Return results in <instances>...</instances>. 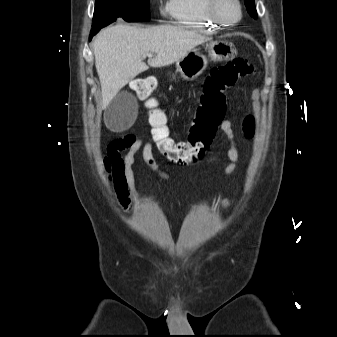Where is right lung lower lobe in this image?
<instances>
[{"label": "right lung lower lobe", "instance_id": "98d812e1", "mask_svg": "<svg viewBox=\"0 0 337 337\" xmlns=\"http://www.w3.org/2000/svg\"><path fill=\"white\" fill-rule=\"evenodd\" d=\"M107 26V24H100L92 27V30L90 32V40L91 38L103 27Z\"/></svg>", "mask_w": 337, "mask_h": 337}]
</instances>
